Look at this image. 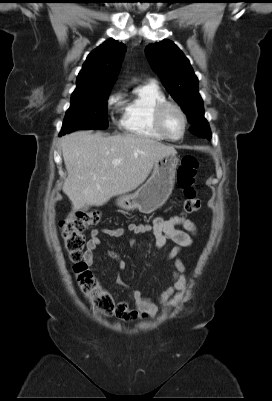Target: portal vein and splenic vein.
<instances>
[{
  "mask_svg": "<svg viewBox=\"0 0 272 401\" xmlns=\"http://www.w3.org/2000/svg\"><path fill=\"white\" fill-rule=\"evenodd\" d=\"M120 160H118V159H116V160H113L112 161V164L114 165V166H117V165H119L120 164Z\"/></svg>",
  "mask_w": 272,
  "mask_h": 401,
  "instance_id": "portal-vein-and-splenic-vein-1",
  "label": "portal vein and splenic vein"
}]
</instances>
